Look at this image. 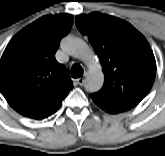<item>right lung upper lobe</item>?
<instances>
[{
  "label": "right lung upper lobe",
  "instance_id": "cb5924a9",
  "mask_svg": "<svg viewBox=\"0 0 165 156\" xmlns=\"http://www.w3.org/2000/svg\"><path fill=\"white\" fill-rule=\"evenodd\" d=\"M74 17L47 15L16 34L0 60V90L23 116L43 119L55 113L73 88L65 66L55 59Z\"/></svg>",
  "mask_w": 165,
  "mask_h": 156
}]
</instances>
